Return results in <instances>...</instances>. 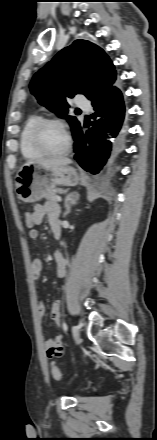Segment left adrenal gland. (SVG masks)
Masks as SVG:
<instances>
[{
    "instance_id": "a2214340",
    "label": "left adrenal gland",
    "mask_w": 157,
    "mask_h": 440,
    "mask_svg": "<svg viewBox=\"0 0 157 440\" xmlns=\"http://www.w3.org/2000/svg\"><path fill=\"white\" fill-rule=\"evenodd\" d=\"M78 200H79L78 194L77 195L70 194L66 197L65 203H64V207H65V212L63 214L64 218L70 213L71 207L73 205H76Z\"/></svg>"
}]
</instances>
